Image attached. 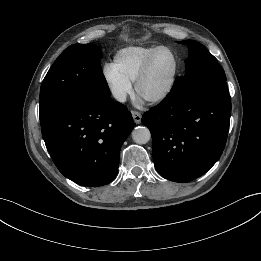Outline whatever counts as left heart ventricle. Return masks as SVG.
<instances>
[{
	"instance_id": "left-heart-ventricle-1",
	"label": "left heart ventricle",
	"mask_w": 261,
	"mask_h": 261,
	"mask_svg": "<svg viewBox=\"0 0 261 261\" xmlns=\"http://www.w3.org/2000/svg\"><path fill=\"white\" fill-rule=\"evenodd\" d=\"M174 68V59L170 52L160 51L154 58L148 76L140 87L142 97L159 93L168 84Z\"/></svg>"
}]
</instances>
